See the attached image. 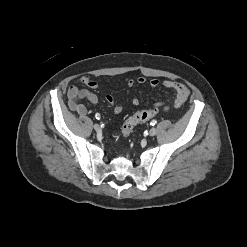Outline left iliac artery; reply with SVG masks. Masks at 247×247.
<instances>
[{
	"label": "left iliac artery",
	"mask_w": 247,
	"mask_h": 247,
	"mask_svg": "<svg viewBox=\"0 0 247 247\" xmlns=\"http://www.w3.org/2000/svg\"><path fill=\"white\" fill-rule=\"evenodd\" d=\"M156 123H157L156 120H152L150 124H151L152 126H154Z\"/></svg>",
	"instance_id": "left-iliac-artery-1"
}]
</instances>
